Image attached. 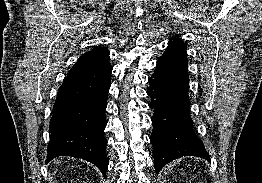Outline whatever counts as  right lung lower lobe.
Wrapping results in <instances>:
<instances>
[{
    "label": "right lung lower lobe",
    "mask_w": 262,
    "mask_h": 183,
    "mask_svg": "<svg viewBox=\"0 0 262 183\" xmlns=\"http://www.w3.org/2000/svg\"><path fill=\"white\" fill-rule=\"evenodd\" d=\"M112 66L74 65L58 89L50 120L47 161L57 156L81 158L106 174L107 140L103 136Z\"/></svg>",
    "instance_id": "1"
}]
</instances>
